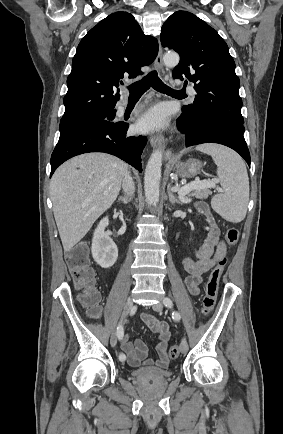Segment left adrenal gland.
Here are the masks:
<instances>
[{"label":"left adrenal gland","instance_id":"1","mask_svg":"<svg viewBox=\"0 0 283 434\" xmlns=\"http://www.w3.org/2000/svg\"><path fill=\"white\" fill-rule=\"evenodd\" d=\"M167 193H168V196H169V202L172 204V205H174L175 203H177V204H183L180 200H178L174 195H173V193H172V191H171V183L168 185V187H167Z\"/></svg>","mask_w":283,"mask_h":434}]
</instances>
